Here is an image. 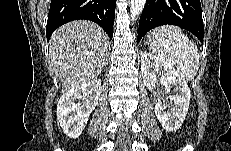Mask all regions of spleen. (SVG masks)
<instances>
[{"label":"spleen","mask_w":231,"mask_h":151,"mask_svg":"<svg viewBox=\"0 0 231 151\" xmlns=\"http://www.w3.org/2000/svg\"><path fill=\"white\" fill-rule=\"evenodd\" d=\"M151 42L153 53L167 62L185 80L190 81L199 69L197 45L181 29L173 25L155 28Z\"/></svg>","instance_id":"spleen-1"}]
</instances>
